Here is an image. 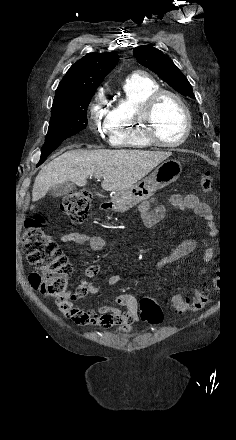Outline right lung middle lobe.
I'll use <instances>...</instances> for the list:
<instances>
[{
  "label": "right lung middle lobe",
  "mask_w": 236,
  "mask_h": 440,
  "mask_svg": "<svg viewBox=\"0 0 236 440\" xmlns=\"http://www.w3.org/2000/svg\"><path fill=\"white\" fill-rule=\"evenodd\" d=\"M93 94L53 104L43 147L60 144L87 126V107Z\"/></svg>",
  "instance_id": "right-lung-middle-lobe-1"
}]
</instances>
